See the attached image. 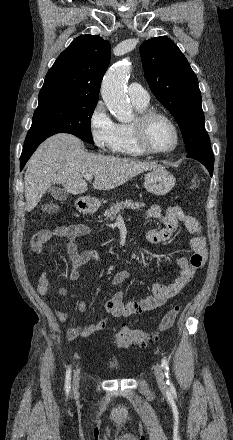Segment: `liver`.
Masks as SVG:
<instances>
[{
    "instance_id": "6515ba94",
    "label": "liver",
    "mask_w": 233,
    "mask_h": 440,
    "mask_svg": "<svg viewBox=\"0 0 233 440\" xmlns=\"http://www.w3.org/2000/svg\"><path fill=\"white\" fill-rule=\"evenodd\" d=\"M158 167L155 162L85 152L79 138L58 133L48 138L28 162L24 176L26 209L31 212L53 184H62L73 195L82 194L88 190L83 177L92 174L93 188L106 191Z\"/></svg>"
}]
</instances>
